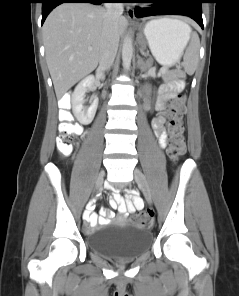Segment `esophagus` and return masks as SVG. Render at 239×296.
Masks as SVG:
<instances>
[{
  "mask_svg": "<svg viewBox=\"0 0 239 296\" xmlns=\"http://www.w3.org/2000/svg\"><path fill=\"white\" fill-rule=\"evenodd\" d=\"M127 16L129 18V20L135 19L134 9L132 7H127Z\"/></svg>",
  "mask_w": 239,
  "mask_h": 296,
  "instance_id": "1",
  "label": "esophagus"
}]
</instances>
